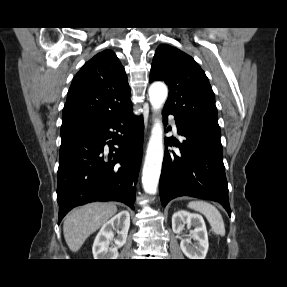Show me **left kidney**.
I'll return each instance as SVG.
<instances>
[{"instance_id": "1", "label": "left kidney", "mask_w": 287, "mask_h": 287, "mask_svg": "<svg viewBox=\"0 0 287 287\" xmlns=\"http://www.w3.org/2000/svg\"><path fill=\"white\" fill-rule=\"evenodd\" d=\"M185 224L194 227L190 238H192L195 243L191 244L190 239H183L180 242L182 252L189 259H204L208 251L209 243L203 217L199 214H192L184 210L175 212L172 216L173 232L180 234Z\"/></svg>"}]
</instances>
